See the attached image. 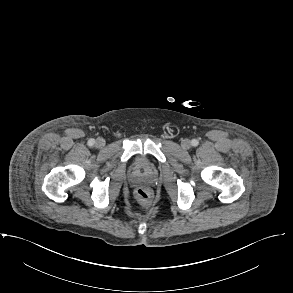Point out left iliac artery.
Returning <instances> with one entry per match:
<instances>
[{"mask_svg":"<svg viewBox=\"0 0 293 293\" xmlns=\"http://www.w3.org/2000/svg\"><path fill=\"white\" fill-rule=\"evenodd\" d=\"M191 143H192V146H197L199 144L198 140L196 139H193Z\"/></svg>","mask_w":293,"mask_h":293,"instance_id":"1","label":"left iliac artery"}]
</instances>
